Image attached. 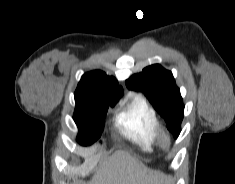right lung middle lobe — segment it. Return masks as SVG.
Instances as JSON below:
<instances>
[{
	"instance_id": "dd1d6c3e",
	"label": "right lung middle lobe",
	"mask_w": 235,
	"mask_h": 184,
	"mask_svg": "<svg viewBox=\"0 0 235 184\" xmlns=\"http://www.w3.org/2000/svg\"><path fill=\"white\" fill-rule=\"evenodd\" d=\"M76 107L73 119L79 129L77 141L83 146L91 145L99 139L104 128V116L109 106H88L75 97Z\"/></svg>"
}]
</instances>
